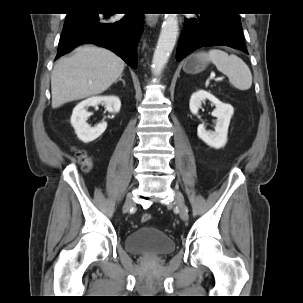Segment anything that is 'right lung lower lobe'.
<instances>
[{
	"instance_id": "right-lung-lower-lobe-1",
	"label": "right lung lower lobe",
	"mask_w": 303,
	"mask_h": 303,
	"mask_svg": "<svg viewBox=\"0 0 303 303\" xmlns=\"http://www.w3.org/2000/svg\"><path fill=\"white\" fill-rule=\"evenodd\" d=\"M84 8L67 14L56 59L85 43L105 47L131 67H137L136 43L143 29V14L128 13L116 19L112 13Z\"/></svg>"
}]
</instances>
